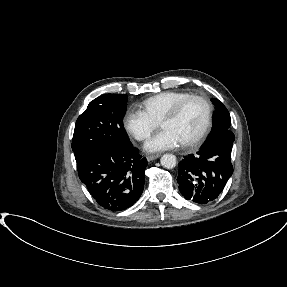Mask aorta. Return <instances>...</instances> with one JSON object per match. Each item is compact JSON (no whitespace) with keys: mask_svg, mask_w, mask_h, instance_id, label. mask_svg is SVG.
Instances as JSON below:
<instances>
[{"mask_svg":"<svg viewBox=\"0 0 287 287\" xmlns=\"http://www.w3.org/2000/svg\"><path fill=\"white\" fill-rule=\"evenodd\" d=\"M160 163L163 167L167 169H172L176 166L177 159L176 156L173 154H164L160 159Z\"/></svg>","mask_w":287,"mask_h":287,"instance_id":"1","label":"aorta"}]
</instances>
